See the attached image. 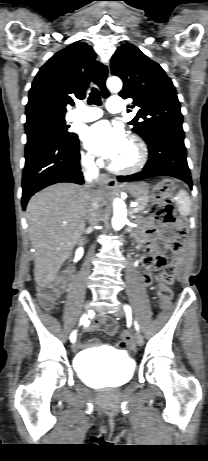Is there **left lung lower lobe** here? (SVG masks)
I'll return each instance as SVG.
<instances>
[{"mask_svg":"<svg viewBox=\"0 0 208 461\" xmlns=\"http://www.w3.org/2000/svg\"><path fill=\"white\" fill-rule=\"evenodd\" d=\"M147 144L149 159L143 170L128 176H118L119 182L139 181L156 176H171L186 182L192 188L183 131H160L153 135Z\"/></svg>","mask_w":208,"mask_h":461,"instance_id":"0a47b994","label":"left lung lower lobe"}]
</instances>
